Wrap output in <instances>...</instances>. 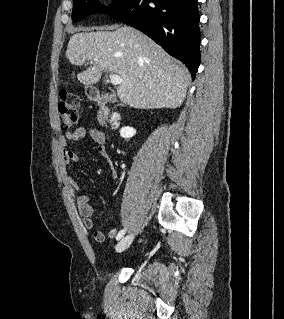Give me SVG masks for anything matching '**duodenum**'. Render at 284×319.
I'll return each instance as SVG.
<instances>
[{
    "label": "duodenum",
    "instance_id": "410a0bca",
    "mask_svg": "<svg viewBox=\"0 0 284 319\" xmlns=\"http://www.w3.org/2000/svg\"><path fill=\"white\" fill-rule=\"evenodd\" d=\"M89 94L93 100H95L99 106V121L101 124H106L109 118V109L107 107V96L100 94L96 89L92 88L89 91Z\"/></svg>",
    "mask_w": 284,
    "mask_h": 319
}]
</instances>
